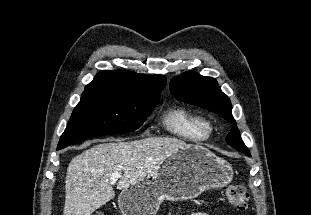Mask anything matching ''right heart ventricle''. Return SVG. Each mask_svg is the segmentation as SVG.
Wrapping results in <instances>:
<instances>
[{
    "label": "right heart ventricle",
    "instance_id": "e07e8e85",
    "mask_svg": "<svg viewBox=\"0 0 311 215\" xmlns=\"http://www.w3.org/2000/svg\"><path fill=\"white\" fill-rule=\"evenodd\" d=\"M165 128L173 135L192 142H201L210 135L205 117L184 107H173L163 117Z\"/></svg>",
    "mask_w": 311,
    "mask_h": 215
}]
</instances>
